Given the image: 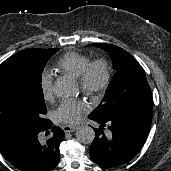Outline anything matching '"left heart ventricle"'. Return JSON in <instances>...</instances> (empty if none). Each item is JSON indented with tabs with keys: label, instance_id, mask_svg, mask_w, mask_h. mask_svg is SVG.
<instances>
[{
	"label": "left heart ventricle",
	"instance_id": "1",
	"mask_svg": "<svg viewBox=\"0 0 171 171\" xmlns=\"http://www.w3.org/2000/svg\"><path fill=\"white\" fill-rule=\"evenodd\" d=\"M100 76H101L100 70H98V69L95 70V72H94V77H95V79H96V80H99Z\"/></svg>",
	"mask_w": 171,
	"mask_h": 171
}]
</instances>
